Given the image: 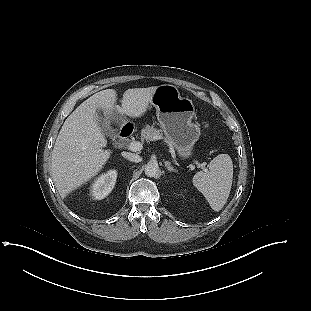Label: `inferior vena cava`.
Segmentation results:
<instances>
[{
  "instance_id": "inferior-vena-cava-1",
  "label": "inferior vena cava",
  "mask_w": 311,
  "mask_h": 311,
  "mask_svg": "<svg viewBox=\"0 0 311 311\" xmlns=\"http://www.w3.org/2000/svg\"><path fill=\"white\" fill-rule=\"evenodd\" d=\"M127 157H128L131 161L136 162V163L141 162V160H142V158H141L139 155L133 154V153H129V154L127 155Z\"/></svg>"
}]
</instances>
